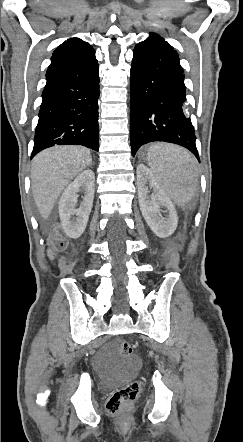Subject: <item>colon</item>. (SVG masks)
<instances>
[{
    "instance_id": "colon-1",
    "label": "colon",
    "mask_w": 243,
    "mask_h": 442,
    "mask_svg": "<svg viewBox=\"0 0 243 442\" xmlns=\"http://www.w3.org/2000/svg\"><path fill=\"white\" fill-rule=\"evenodd\" d=\"M65 244V236L60 229H56L49 239L47 255L49 257L54 256L64 248ZM119 352L121 356L129 357L133 354V346L129 342L123 341L120 344ZM139 389V383L133 381L114 391L106 403L108 413L112 415L123 414L129 405L136 399Z\"/></svg>"
}]
</instances>
